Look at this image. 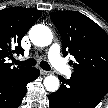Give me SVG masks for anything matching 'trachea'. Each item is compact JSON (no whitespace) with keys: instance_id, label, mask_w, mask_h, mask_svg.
<instances>
[{"instance_id":"trachea-1","label":"trachea","mask_w":108,"mask_h":108,"mask_svg":"<svg viewBox=\"0 0 108 108\" xmlns=\"http://www.w3.org/2000/svg\"><path fill=\"white\" fill-rule=\"evenodd\" d=\"M15 63L18 64V65H21V66L32 67V66L36 65L37 61L34 58H29V59H27L25 61L15 60ZM40 67L43 70H46V71H50L51 70L50 65L46 61H41L40 62Z\"/></svg>"}]
</instances>
